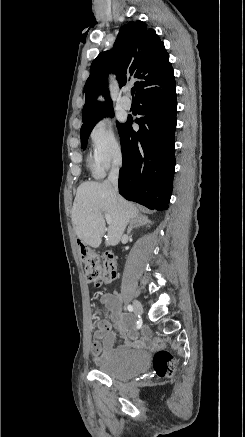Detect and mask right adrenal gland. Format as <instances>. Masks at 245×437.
Listing matches in <instances>:
<instances>
[{"label": "right adrenal gland", "mask_w": 245, "mask_h": 437, "mask_svg": "<svg viewBox=\"0 0 245 437\" xmlns=\"http://www.w3.org/2000/svg\"><path fill=\"white\" fill-rule=\"evenodd\" d=\"M150 221L145 216H139L137 219L130 222L127 233L130 234L131 230L135 227L143 226L149 224Z\"/></svg>", "instance_id": "2a0ac1e0"}]
</instances>
